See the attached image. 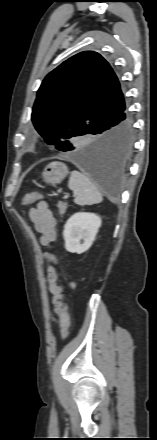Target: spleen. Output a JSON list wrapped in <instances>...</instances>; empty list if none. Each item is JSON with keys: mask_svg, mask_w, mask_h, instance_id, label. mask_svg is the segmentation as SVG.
<instances>
[{"mask_svg": "<svg viewBox=\"0 0 157 440\" xmlns=\"http://www.w3.org/2000/svg\"><path fill=\"white\" fill-rule=\"evenodd\" d=\"M68 187L75 193L74 203L80 206L101 203L102 194L94 183L84 174L72 171Z\"/></svg>", "mask_w": 157, "mask_h": 440, "instance_id": "spleen-1", "label": "spleen"}]
</instances>
